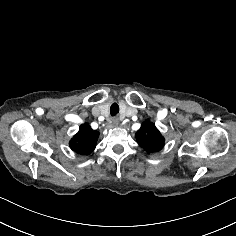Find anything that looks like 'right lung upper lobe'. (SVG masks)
<instances>
[{
	"instance_id": "right-lung-upper-lobe-1",
	"label": "right lung upper lobe",
	"mask_w": 236,
	"mask_h": 236,
	"mask_svg": "<svg viewBox=\"0 0 236 236\" xmlns=\"http://www.w3.org/2000/svg\"><path fill=\"white\" fill-rule=\"evenodd\" d=\"M99 136L98 131H94L88 124H82L78 133L71 139L70 148L81 155L90 154Z\"/></svg>"
}]
</instances>
